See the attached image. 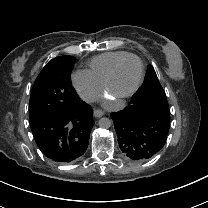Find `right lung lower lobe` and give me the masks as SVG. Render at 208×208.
Returning a JSON list of instances; mask_svg holds the SVG:
<instances>
[{
    "label": "right lung lower lobe",
    "instance_id": "right-lung-lower-lobe-1",
    "mask_svg": "<svg viewBox=\"0 0 208 208\" xmlns=\"http://www.w3.org/2000/svg\"><path fill=\"white\" fill-rule=\"evenodd\" d=\"M91 106L79 98L77 107L51 116L30 127L41 152L52 161L72 163L86 151L94 125Z\"/></svg>",
    "mask_w": 208,
    "mask_h": 208
}]
</instances>
